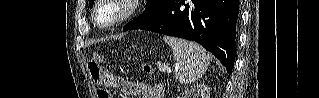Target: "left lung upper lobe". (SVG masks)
<instances>
[{
  "mask_svg": "<svg viewBox=\"0 0 319 98\" xmlns=\"http://www.w3.org/2000/svg\"><path fill=\"white\" fill-rule=\"evenodd\" d=\"M94 0H89L90 7L93 6ZM164 0H147L145 11L136 19L129 22L126 26L132 29H138L146 24L153 22L162 13Z\"/></svg>",
  "mask_w": 319,
  "mask_h": 98,
  "instance_id": "left-lung-upper-lobe-1",
  "label": "left lung upper lobe"
}]
</instances>
